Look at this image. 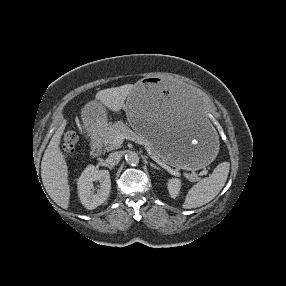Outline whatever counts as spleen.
Wrapping results in <instances>:
<instances>
[{"label": "spleen", "mask_w": 286, "mask_h": 286, "mask_svg": "<svg viewBox=\"0 0 286 286\" xmlns=\"http://www.w3.org/2000/svg\"><path fill=\"white\" fill-rule=\"evenodd\" d=\"M230 169L229 162L220 163L212 175L201 179L187 193L183 208L192 209L209 203L224 187Z\"/></svg>", "instance_id": "3e777b00"}]
</instances>
